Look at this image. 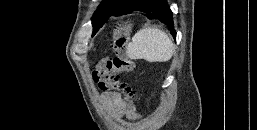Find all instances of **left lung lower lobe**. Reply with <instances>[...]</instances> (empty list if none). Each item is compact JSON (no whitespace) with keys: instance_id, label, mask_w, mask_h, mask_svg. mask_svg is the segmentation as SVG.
<instances>
[{"instance_id":"1","label":"left lung lower lobe","mask_w":257,"mask_h":130,"mask_svg":"<svg viewBox=\"0 0 257 130\" xmlns=\"http://www.w3.org/2000/svg\"><path fill=\"white\" fill-rule=\"evenodd\" d=\"M140 11L148 19H158L169 26L173 37H176V32L173 28L172 12L164 0H129L123 6L115 9L111 15L120 16L129 12ZM97 31L94 32V34Z\"/></svg>"}]
</instances>
